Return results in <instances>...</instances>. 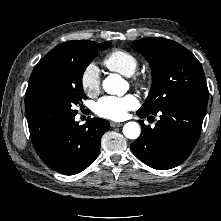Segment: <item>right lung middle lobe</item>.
<instances>
[{
	"instance_id": "right-lung-middle-lobe-1",
	"label": "right lung middle lobe",
	"mask_w": 221,
	"mask_h": 221,
	"mask_svg": "<svg viewBox=\"0 0 221 221\" xmlns=\"http://www.w3.org/2000/svg\"><path fill=\"white\" fill-rule=\"evenodd\" d=\"M111 45L80 41L53 53L46 54L35 66L31 98L33 102H48L72 109L86 99L82 76L97 56Z\"/></svg>"
}]
</instances>
